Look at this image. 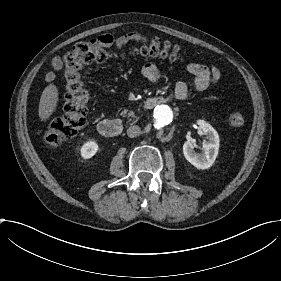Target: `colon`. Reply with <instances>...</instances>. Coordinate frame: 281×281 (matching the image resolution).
<instances>
[{
  "label": "colon",
  "mask_w": 281,
  "mask_h": 281,
  "mask_svg": "<svg viewBox=\"0 0 281 281\" xmlns=\"http://www.w3.org/2000/svg\"><path fill=\"white\" fill-rule=\"evenodd\" d=\"M127 47H133L135 54H150L154 59L184 62L189 57L182 46L151 37L113 47L106 46L104 38L79 44L64 59L63 78L67 92L61 109L43 133L42 144L46 149L53 150L63 141L76 138L87 125L89 96L82 69L86 65L118 57ZM228 121L232 127L239 128L244 126L246 119L242 112L232 111Z\"/></svg>",
  "instance_id": "obj_1"
}]
</instances>
